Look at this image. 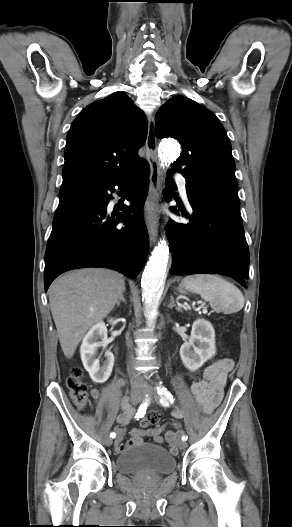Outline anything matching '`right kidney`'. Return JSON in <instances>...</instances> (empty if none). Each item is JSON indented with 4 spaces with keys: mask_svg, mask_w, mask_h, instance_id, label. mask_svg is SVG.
I'll return each mask as SVG.
<instances>
[{
    "mask_svg": "<svg viewBox=\"0 0 292 527\" xmlns=\"http://www.w3.org/2000/svg\"><path fill=\"white\" fill-rule=\"evenodd\" d=\"M109 322L113 324L115 320L110 319ZM106 343L107 328L105 323L100 321L88 331L80 347V355L84 368L96 383H104L111 375L113 369L114 355L112 352L106 351V360L102 365H100L99 359L95 356L98 348L105 346Z\"/></svg>",
    "mask_w": 292,
    "mask_h": 527,
    "instance_id": "right-kidney-1",
    "label": "right kidney"
}]
</instances>
